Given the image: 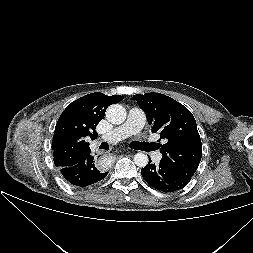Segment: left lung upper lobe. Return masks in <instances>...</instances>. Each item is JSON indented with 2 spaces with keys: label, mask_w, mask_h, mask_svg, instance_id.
Here are the masks:
<instances>
[{
  "label": "left lung upper lobe",
  "mask_w": 253,
  "mask_h": 253,
  "mask_svg": "<svg viewBox=\"0 0 253 253\" xmlns=\"http://www.w3.org/2000/svg\"><path fill=\"white\" fill-rule=\"evenodd\" d=\"M144 110L152 133L165 139L161 162L190 181L202 157V144L192 113L174 99L160 93L133 96Z\"/></svg>",
  "instance_id": "5c2ea615"
}]
</instances>
